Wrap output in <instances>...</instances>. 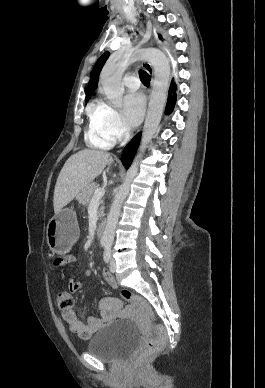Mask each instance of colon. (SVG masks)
Instances as JSON below:
<instances>
[{
	"label": "colon",
	"instance_id": "colon-1",
	"mask_svg": "<svg viewBox=\"0 0 265 388\" xmlns=\"http://www.w3.org/2000/svg\"><path fill=\"white\" fill-rule=\"evenodd\" d=\"M119 294L125 301L136 305L141 310L145 320L154 327L156 332V337L146 341L144 350H136L133 353L132 359L137 361L144 354L154 353L162 347L168 338L167 329L163 325L154 322L153 309L147 299L128 289L121 290ZM57 304L63 310L70 309L74 304L72 293L70 291L60 290L57 296Z\"/></svg>",
	"mask_w": 265,
	"mask_h": 388
}]
</instances>
